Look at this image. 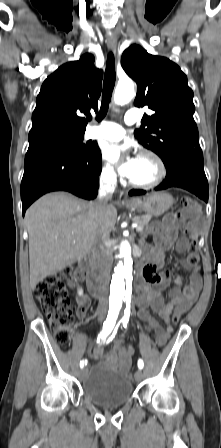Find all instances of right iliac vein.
<instances>
[{
    "instance_id": "obj_1",
    "label": "right iliac vein",
    "mask_w": 221,
    "mask_h": 448,
    "mask_svg": "<svg viewBox=\"0 0 221 448\" xmlns=\"http://www.w3.org/2000/svg\"><path fill=\"white\" fill-rule=\"evenodd\" d=\"M86 372H87V368L86 367L80 369V371H79V378L82 379L86 375Z\"/></svg>"
}]
</instances>
